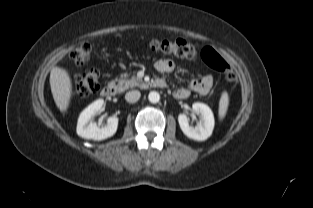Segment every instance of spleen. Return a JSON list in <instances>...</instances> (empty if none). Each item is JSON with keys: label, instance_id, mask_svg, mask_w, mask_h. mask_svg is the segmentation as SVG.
<instances>
[{"label": "spleen", "instance_id": "1", "mask_svg": "<svg viewBox=\"0 0 313 208\" xmlns=\"http://www.w3.org/2000/svg\"><path fill=\"white\" fill-rule=\"evenodd\" d=\"M229 105V97L227 92H223L219 101V118L225 117Z\"/></svg>", "mask_w": 313, "mask_h": 208}]
</instances>
